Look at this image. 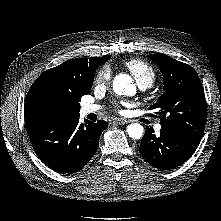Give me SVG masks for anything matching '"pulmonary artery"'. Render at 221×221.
<instances>
[{"label":"pulmonary artery","instance_id":"e3ab8cb5","mask_svg":"<svg viewBox=\"0 0 221 221\" xmlns=\"http://www.w3.org/2000/svg\"><path fill=\"white\" fill-rule=\"evenodd\" d=\"M139 87L142 90H145L146 88H148V86H145V85H139ZM99 109H100V107L98 105L86 104L82 107L81 112L83 115H87L90 113H94V112L98 111ZM160 129H161V125L156 124L155 130L160 131Z\"/></svg>","mask_w":221,"mask_h":221}]
</instances>
